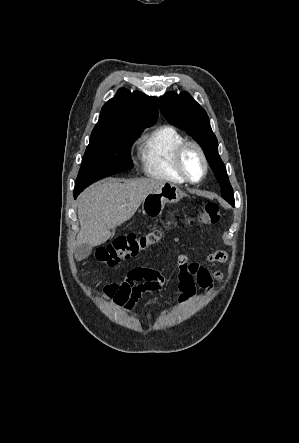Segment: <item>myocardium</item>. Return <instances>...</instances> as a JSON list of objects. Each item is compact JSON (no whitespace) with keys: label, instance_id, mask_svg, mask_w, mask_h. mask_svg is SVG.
Returning a JSON list of instances; mask_svg holds the SVG:
<instances>
[{"label":"myocardium","instance_id":"f54148a6","mask_svg":"<svg viewBox=\"0 0 299 443\" xmlns=\"http://www.w3.org/2000/svg\"><path fill=\"white\" fill-rule=\"evenodd\" d=\"M193 148L196 150V152L198 153L201 162H202V174L198 179H193L189 176L185 166H184V156L186 154V152L190 149ZM175 166L176 169L178 171V173L182 176V178L189 183L192 184H197L200 183L201 181H203L208 173V160L207 157L205 155V152L203 150V148L201 147V145L195 141H188L186 140L185 142H183L176 150L175 153Z\"/></svg>","mask_w":299,"mask_h":443}]
</instances>
